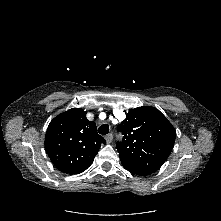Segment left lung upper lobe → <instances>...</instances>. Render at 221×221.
Returning <instances> with one entry per match:
<instances>
[{"instance_id": "left-lung-upper-lobe-1", "label": "left lung upper lobe", "mask_w": 221, "mask_h": 221, "mask_svg": "<svg viewBox=\"0 0 221 221\" xmlns=\"http://www.w3.org/2000/svg\"><path fill=\"white\" fill-rule=\"evenodd\" d=\"M123 140L116 148L123 167L130 171L158 170L174 146L176 131L156 108L143 106L131 109L118 125Z\"/></svg>"}]
</instances>
